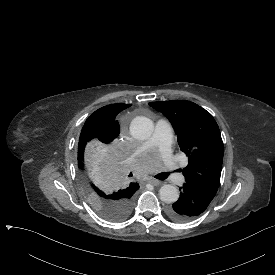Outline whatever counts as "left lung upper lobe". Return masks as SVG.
Returning <instances> with one entry per match:
<instances>
[{
    "label": "left lung upper lobe",
    "instance_id": "left-lung-upper-lobe-1",
    "mask_svg": "<svg viewBox=\"0 0 275 275\" xmlns=\"http://www.w3.org/2000/svg\"><path fill=\"white\" fill-rule=\"evenodd\" d=\"M165 115L178 136L180 149L188 156L183 169L186 183L215 196L223 162V142L212 115L197 104L185 100L149 103Z\"/></svg>",
    "mask_w": 275,
    "mask_h": 275
}]
</instances>
